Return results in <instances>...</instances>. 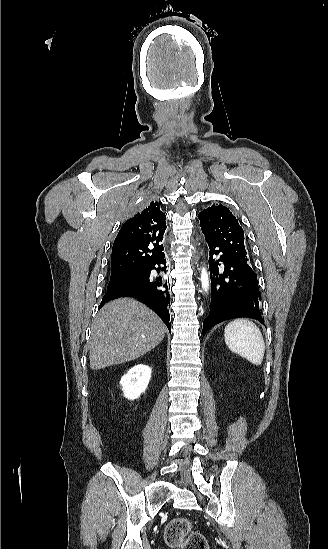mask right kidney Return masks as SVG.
I'll return each mask as SVG.
<instances>
[{"mask_svg":"<svg viewBox=\"0 0 328 549\" xmlns=\"http://www.w3.org/2000/svg\"><path fill=\"white\" fill-rule=\"evenodd\" d=\"M151 379V369L147 365H135L122 377L120 385L127 399H138L145 393Z\"/></svg>","mask_w":328,"mask_h":549,"instance_id":"1","label":"right kidney"}]
</instances>
